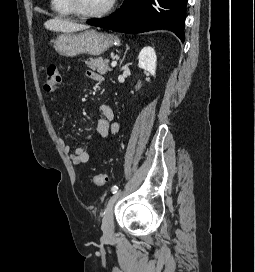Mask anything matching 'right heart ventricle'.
<instances>
[{"mask_svg":"<svg viewBox=\"0 0 255 272\" xmlns=\"http://www.w3.org/2000/svg\"><path fill=\"white\" fill-rule=\"evenodd\" d=\"M50 6L52 11L59 16L71 17L74 15L68 8L65 0H51Z\"/></svg>","mask_w":255,"mask_h":272,"instance_id":"right-heart-ventricle-1","label":"right heart ventricle"}]
</instances>
